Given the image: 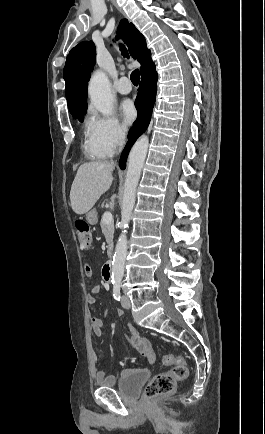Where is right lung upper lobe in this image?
Masks as SVG:
<instances>
[{"mask_svg": "<svg viewBox=\"0 0 265 434\" xmlns=\"http://www.w3.org/2000/svg\"><path fill=\"white\" fill-rule=\"evenodd\" d=\"M121 37L129 47L133 58L142 64L151 58L143 35L126 19L118 26L117 37ZM95 46L92 42H81L68 54L64 68L67 103L87 101V83L95 65Z\"/></svg>", "mask_w": 265, "mask_h": 434, "instance_id": "obj_1", "label": "right lung upper lobe"}]
</instances>
